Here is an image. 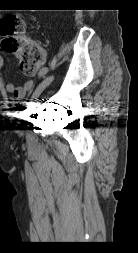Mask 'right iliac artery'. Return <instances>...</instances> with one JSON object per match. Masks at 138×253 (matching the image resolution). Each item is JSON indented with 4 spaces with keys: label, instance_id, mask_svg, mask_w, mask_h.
<instances>
[{
    "label": "right iliac artery",
    "instance_id": "82829eb1",
    "mask_svg": "<svg viewBox=\"0 0 138 253\" xmlns=\"http://www.w3.org/2000/svg\"><path fill=\"white\" fill-rule=\"evenodd\" d=\"M49 74V68L48 67H42L41 70L39 71L38 77L39 78H44L45 75Z\"/></svg>",
    "mask_w": 138,
    "mask_h": 253
}]
</instances>
